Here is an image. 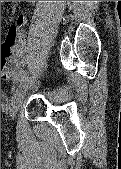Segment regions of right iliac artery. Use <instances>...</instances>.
Wrapping results in <instances>:
<instances>
[{
  "label": "right iliac artery",
  "instance_id": "82829eb1",
  "mask_svg": "<svg viewBox=\"0 0 121 169\" xmlns=\"http://www.w3.org/2000/svg\"><path fill=\"white\" fill-rule=\"evenodd\" d=\"M28 79V73L27 72H24L21 77L19 78V81L22 82V81H25Z\"/></svg>",
  "mask_w": 121,
  "mask_h": 169
}]
</instances>
